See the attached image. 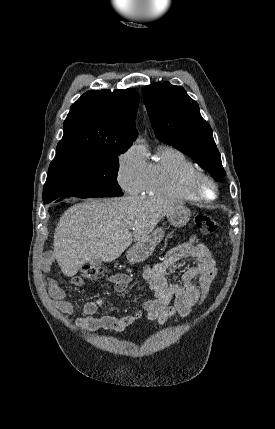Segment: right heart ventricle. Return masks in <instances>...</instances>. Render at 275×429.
I'll use <instances>...</instances> for the list:
<instances>
[{
	"label": "right heart ventricle",
	"mask_w": 275,
	"mask_h": 429,
	"mask_svg": "<svg viewBox=\"0 0 275 429\" xmlns=\"http://www.w3.org/2000/svg\"><path fill=\"white\" fill-rule=\"evenodd\" d=\"M199 171L197 165L181 150L162 146L147 163L144 192L151 196L183 201H196L188 189L190 176Z\"/></svg>",
	"instance_id": "1"
}]
</instances>
